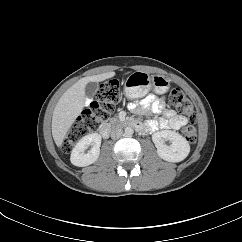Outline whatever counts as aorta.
Instances as JSON below:
<instances>
[{"mask_svg":"<svg viewBox=\"0 0 242 242\" xmlns=\"http://www.w3.org/2000/svg\"><path fill=\"white\" fill-rule=\"evenodd\" d=\"M133 133H134L133 128H131V127H126L125 128V136L131 137L133 135Z\"/></svg>","mask_w":242,"mask_h":242,"instance_id":"762f6f07","label":"aorta"}]
</instances>
